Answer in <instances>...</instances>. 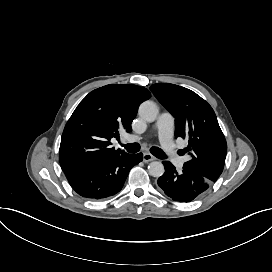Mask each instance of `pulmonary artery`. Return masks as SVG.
I'll list each match as a JSON object with an SVG mask.
<instances>
[{"instance_id":"1","label":"pulmonary artery","mask_w":272,"mask_h":272,"mask_svg":"<svg viewBox=\"0 0 272 272\" xmlns=\"http://www.w3.org/2000/svg\"><path fill=\"white\" fill-rule=\"evenodd\" d=\"M174 118L170 115H161L156 122V128L160 142L164 145V149L169 153V156L173 159L176 165L183 169L185 167L184 161L179 158V148L172 141ZM147 136L145 134L135 136L133 141L135 143L145 141Z\"/></svg>"}]
</instances>
